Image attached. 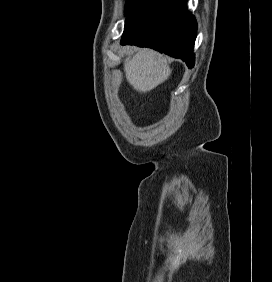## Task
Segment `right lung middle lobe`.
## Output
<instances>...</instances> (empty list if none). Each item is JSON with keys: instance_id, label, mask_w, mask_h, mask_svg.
<instances>
[{"instance_id": "right-lung-middle-lobe-1", "label": "right lung middle lobe", "mask_w": 272, "mask_h": 282, "mask_svg": "<svg viewBox=\"0 0 272 282\" xmlns=\"http://www.w3.org/2000/svg\"><path fill=\"white\" fill-rule=\"evenodd\" d=\"M140 2L141 0H127L125 14L128 15Z\"/></svg>"}]
</instances>
